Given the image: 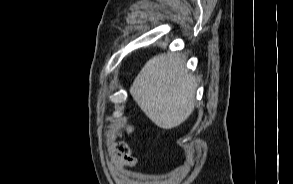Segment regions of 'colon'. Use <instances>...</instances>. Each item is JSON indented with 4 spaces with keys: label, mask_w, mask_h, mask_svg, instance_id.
<instances>
[{
    "label": "colon",
    "mask_w": 293,
    "mask_h": 184,
    "mask_svg": "<svg viewBox=\"0 0 293 184\" xmlns=\"http://www.w3.org/2000/svg\"><path fill=\"white\" fill-rule=\"evenodd\" d=\"M128 131H131V128H127ZM116 154L125 162L133 163L135 158L130 150V148L125 143H119L116 147Z\"/></svg>",
    "instance_id": "1"
}]
</instances>
